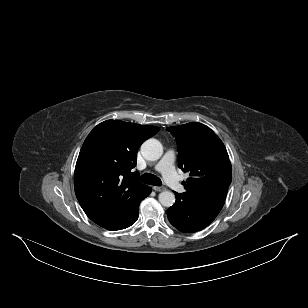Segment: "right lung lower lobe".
Instances as JSON below:
<instances>
[{"label":"right lung lower lobe","instance_id":"98d812e1","mask_svg":"<svg viewBox=\"0 0 308 308\" xmlns=\"http://www.w3.org/2000/svg\"><path fill=\"white\" fill-rule=\"evenodd\" d=\"M150 192H151V188L147 186L141 198L136 202L135 207L133 208V213L128 217V219L120 226L109 228L108 230H112V231L121 230V229L127 228L131 226L132 224H134L136 220L138 219L139 204L145 197H147L150 194Z\"/></svg>","mask_w":308,"mask_h":308}]
</instances>
